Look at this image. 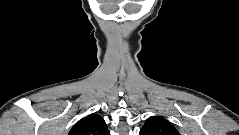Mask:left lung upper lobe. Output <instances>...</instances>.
<instances>
[{
	"label": "left lung upper lobe",
	"instance_id": "1",
	"mask_svg": "<svg viewBox=\"0 0 239 135\" xmlns=\"http://www.w3.org/2000/svg\"><path fill=\"white\" fill-rule=\"evenodd\" d=\"M140 135H180L174 126L161 117H150L140 130Z\"/></svg>",
	"mask_w": 239,
	"mask_h": 135
}]
</instances>
